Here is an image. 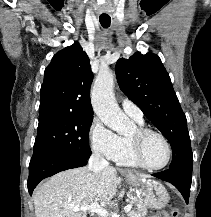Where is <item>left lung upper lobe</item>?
Masks as SVG:
<instances>
[{
  "label": "left lung upper lobe",
  "mask_w": 211,
  "mask_h": 217,
  "mask_svg": "<svg viewBox=\"0 0 211 217\" xmlns=\"http://www.w3.org/2000/svg\"><path fill=\"white\" fill-rule=\"evenodd\" d=\"M115 71L124 94L168 139L173 152L170 168L192 170L186 116L160 58L153 53L136 52L129 59H119Z\"/></svg>",
  "instance_id": "obj_1"
}]
</instances>
